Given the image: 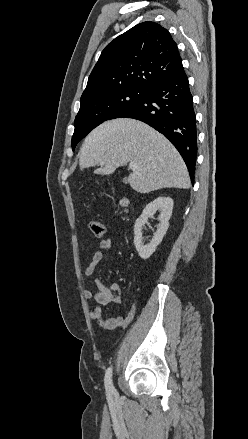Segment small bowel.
Wrapping results in <instances>:
<instances>
[{"instance_id":"obj_1","label":"small bowel","mask_w":248,"mask_h":439,"mask_svg":"<svg viewBox=\"0 0 248 439\" xmlns=\"http://www.w3.org/2000/svg\"><path fill=\"white\" fill-rule=\"evenodd\" d=\"M111 248V241L103 239L99 243V250L94 253L89 264L84 270L85 276H91L97 265L103 259V252ZM97 290L86 288L83 290L85 299L90 300L94 306L89 310V317L94 320L99 326L105 329H115L117 327H126L133 320L136 314V304L132 303L131 308L126 316H117L112 318H105L100 309V305L108 306L109 304L122 303V288L117 282L106 284L100 279L95 280Z\"/></svg>"}]
</instances>
